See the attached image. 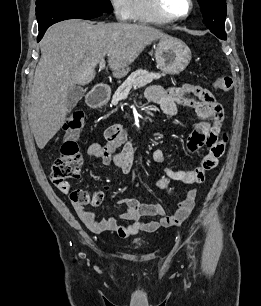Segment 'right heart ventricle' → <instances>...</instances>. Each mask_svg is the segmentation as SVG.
Instances as JSON below:
<instances>
[{"instance_id":"right-heart-ventricle-1","label":"right heart ventricle","mask_w":261,"mask_h":306,"mask_svg":"<svg viewBox=\"0 0 261 306\" xmlns=\"http://www.w3.org/2000/svg\"><path fill=\"white\" fill-rule=\"evenodd\" d=\"M130 19L141 23L163 24L166 23L151 6L150 0H131Z\"/></svg>"}]
</instances>
